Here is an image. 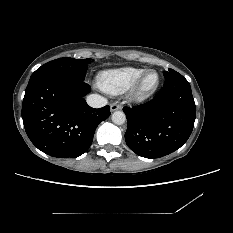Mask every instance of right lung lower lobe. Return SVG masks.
Here are the masks:
<instances>
[{"label":"right lung lower lobe","instance_id":"98d812e1","mask_svg":"<svg viewBox=\"0 0 233 233\" xmlns=\"http://www.w3.org/2000/svg\"><path fill=\"white\" fill-rule=\"evenodd\" d=\"M90 86L65 75H48L29 81L22 119L31 142L47 155L76 158L93 141L97 126L110 116V107H90L84 96Z\"/></svg>","mask_w":233,"mask_h":233}]
</instances>
